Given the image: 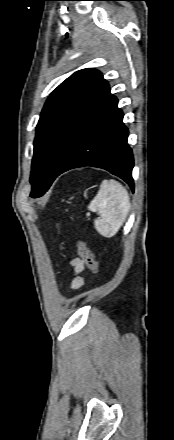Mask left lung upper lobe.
I'll use <instances>...</instances> for the list:
<instances>
[{
	"mask_svg": "<svg viewBox=\"0 0 174 440\" xmlns=\"http://www.w3.org/2000/svg\"><path fill=\"white\" fill-rule=\"evenodd\" d=\"M110 92L100 71L82 69L48 97L36 127L31 197L42 196L58 176L90 115Z\"/></svg>",
	"mask_w": 174,
	"mask_h": 440,
	"instance_id": "1",
	"label": "left lung upper lobe"
}]
</instances>
